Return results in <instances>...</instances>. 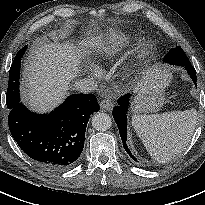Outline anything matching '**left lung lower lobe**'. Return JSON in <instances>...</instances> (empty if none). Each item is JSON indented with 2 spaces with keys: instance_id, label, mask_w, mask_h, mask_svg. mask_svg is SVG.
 I'll return each instance as SVG.
<instances>
[{
  "instance_id": "obj_1",
  "label": "left lung lower lobe",
  "mask_w": 205,
  "mask_h": 205,
  "mask_svg": "<svg viewBox=\"0 0 205 205\" xmlns=\"http://www.w3.org/2000/svg\"><path fill=\"white\" fill-rule=\"evenodd\" d=\"M188 74L190 75L191 79L194 81L195 85H196V71L195 68L190 64V65H184L183 66ZM129 97L130 95L127 94L123 97H121L118 100V106H115L113 109V117L115 119V122L119 128V133L121 136V139L123 141V146L124 149L126 150V152L131 156V158H133L135 160V157L132 155V153L130 152V150L128 149L127 145H126V139H127V110H128V105H129Z\"/></svg>"
}]
</instances>
